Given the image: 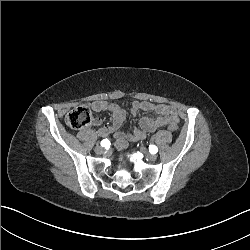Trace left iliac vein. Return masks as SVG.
Instances as JSON below:
<instances>
[{"mask_svg":"<svg viewBox=\"0 0 250 250\" xmlns=\"http://www.w3.org/2000/svg\"><path fill=\"white\" fill-rule=\"evenodd\" d=\"M140 151L145 155V157L150 160V161H155L157 159V156L155 154H149L146 151V148L144 146H142L140 148Z\"/></svg>","mask_w":250,"mask_h":250,"instance_id":"left-iliac-vein-1","label":"left iliac vein"}]
</instances>
